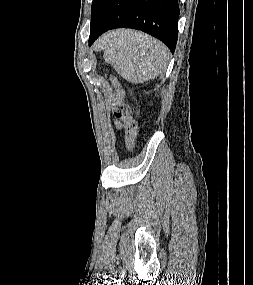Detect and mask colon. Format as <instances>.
I'll list each match as a JSON object with an SVG mask.
<instances>
[{
	"label": "colon",
	"instance_id": "1",
	"mask_svg": "<svg viewBox=\"0 0 253 285\" xmlns=\"http://www.w3.org/2000/svg\"><path fill=\"white\" fill-rule=\"evenodd\" d=\"M114 93L112 97V108L117 119L123 122L126 131V146L129 151L135 147V140L138 134V126L131 116V108L124 102V91L116 77H110Z\"/></svg>",
	"mask_w": 253,
	"mask_h": 285
}]
</instances>
